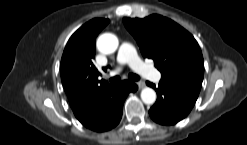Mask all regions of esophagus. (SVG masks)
<instances>
[{
	"label": "esophagus",
	"instance_id": "1",
	"mask_svg": "<svg viewBox=\"0 0 247 145\" xmlns=\"http://www.w3.org/2000/svg\"><path fill=\"white\" fill-rule=\"evenodd\" d=\"M137 85H138L139 89H142V88L145 87V82H144V81H139V82L137 83Z\"/></svg>",
	"mask_w": 247,
	"mask_h": 145
}]
</instances>
